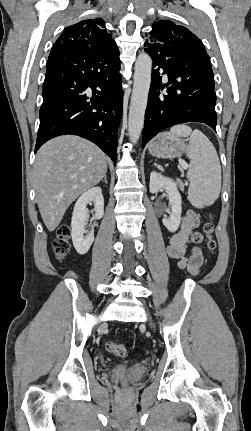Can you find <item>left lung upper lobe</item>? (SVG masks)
I'll list each match as a JSON object with an SVG mask.
<instances>
[{
	"label": "left lung upper lobe",
	"mask_w": 251,
	"mask_h": 431,
	"mask_svg": "<svg viewBox=\"0 0 251 431\" xmlns=\"http://www.w3.org/2000/svg\"><path fill=\"white\" fill-rule=\"evenodd\" d=\"M169 47L188 48L190 51L209 59L203 43L192 32L183 26L171 21L160 20L155 22L150 31V37Z\"/></svg>",
	"instance_id": "1"
}]
</instances>
